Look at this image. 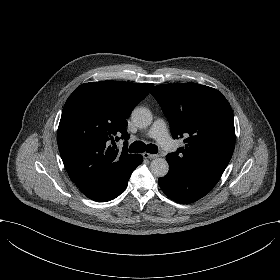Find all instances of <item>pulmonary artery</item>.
<instances>
[{"instance_id": "e3ab8cb5", "label": "pulmonary artery", "mask_w": 280, "mask_h": 280, "mask_svg": "<svg viewBox=\"0 0 280 280\" xmlns=\"http://www.w3.org/2000/svg\"><path fill=\"white\" fill-rule=\"evenodd\" d=\"M147 135L157 140L160 146L166 151H175L178 147V144L175 146V141L169 136L166 122L162 118H157L154 121Z\"/></svg>"}]
</instances>
